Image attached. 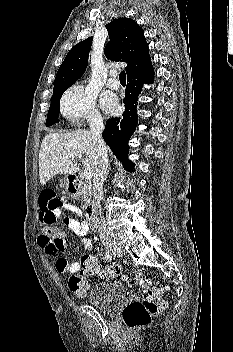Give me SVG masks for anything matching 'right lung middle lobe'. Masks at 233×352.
Segmentation results:
<instances>
[{"mask_svg":"<svg viewBox=\"0 0 233 352\" xmlns=\"http://www.w3.org/2000/svg\"><path fill=\"white\" fill-rule=\"evenodd\" d=\"M70 87L69 86H59L53 89V96L51 98V105L48 111V116L46 120V126L49 127L50 125L54 124L58 120L59 108H60V98L64 91Z\"/></svg>","mask_w":233,"mask_h":352,"instance_id":"1","label":"right lung middle lobe"}]
</instances>
